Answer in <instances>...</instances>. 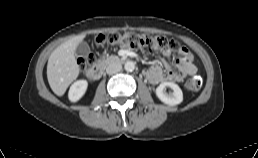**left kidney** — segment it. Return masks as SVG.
Segmentation results:
<instances>
[{"label": "left kidney", "instance_id": "5707ae66", "mask_svg": "<svg viewBox=\"0 0 258 158\" xmlns=\"http://www.w3.org/2000/svg\"><path fill=\"white\" fill-rule=\"evenodd\" d=\"M166 88L172 89V93H166ZM156 95L163 103L175 106L183 101V93L180 87L173 82H162L156 88Z\"/></svg>", "mask_w": 258, "mask_h": 158}]
</instances>
